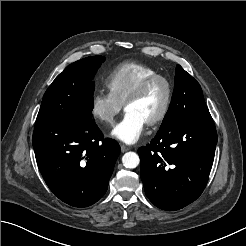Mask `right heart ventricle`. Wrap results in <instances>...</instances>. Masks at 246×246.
<instances>
[{
    "label": "right heart ventricle",
    "instance_id": "obj_1",
    "mask_svg": "<svg viewBox=\"0 0 246 246\" xmlns=\"http://www.w3.org/2000/svg\"><path fill=\"white\" fill-rule=\"evenodd\" d=\"M157 73L156 69L146 64L124 62L108 74L105 85L109 93L123 105L129 94L142 80Z\"/></svg>",
    "mask_w": 246,
    "mask_h": 246
}]
</instances>
